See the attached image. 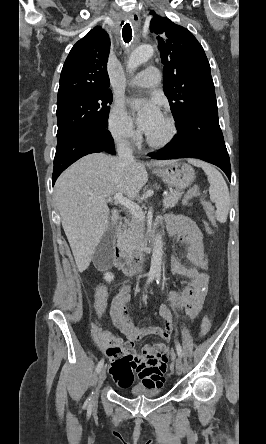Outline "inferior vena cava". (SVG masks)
Wrapping results in <instances>:
<instances>
[{
    "label": "inferior vena cava",
    "mask_w": 266,
    "mask_h": 444,
    "mask_svg": "<svg viewBox=\"0 0 266 444\" xmlns=\"http://www.w3.org/2000/svg\"><path fill=\"white\" fill-rule=\"evenodd\" d=\"M117 153L119 158L126 160V161H132L134 160L133 152L131 147L129 146L128 142L120 140L117 144Z\"/></svg>",
    "instance_id": "602c4592"
}]
</instances>
